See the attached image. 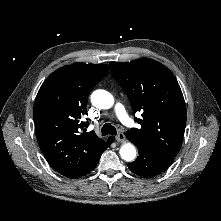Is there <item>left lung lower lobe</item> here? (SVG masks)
Masks as SVG:
<instances>
[{
	"label": "left lung lower lobe",
	"instance_id": "1",
	"mask_svg": "<svg viewBox=\"0 0 221 221\" xmlns=\"http://www.w3.org/2000/svg\"><path fill=\"white\" fill-rule=\"evenodd\" d=\"M129 141L138 148L139 156L128 164L129 169L144 178H151L166 170L172 163L175 156L159 153L149 148L140 146L130 136L125 133Z\"/></svg>",
	"mask_w": 221,
	"mask_h": 221
}]
</instances>
